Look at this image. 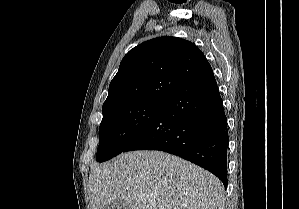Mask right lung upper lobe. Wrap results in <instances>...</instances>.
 Returning a JSON list of instances; mask_svg holds the SVG:
<instances>
[{
	"label": "right lung upper lobe",
	"mask_w": 299,
	"mask_h": 209,
	"mask_svg": "<svg viewBox=\"0 0 299 209\" xmlns=\"http://www.w3.org/2000/svg\"><path fill=\"white\" fill-rule=\"evenodd\" d=\"M210 70L204 54L190 41L170 36L146 41L122 59L103 112L142 101L165 102L190 78Z\"/></svg>",
	"instance_id": "cb5924a9"
}]
</instances>
